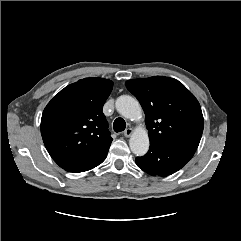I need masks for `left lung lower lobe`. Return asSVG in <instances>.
<instances>
[{"mask_svg":"<svg viewBox=\"0 0 241 241\" xmlns=\"http://www.w3.org/2000/svg\"><path fill=\"white\" fill-rule=\"evenodd\" d=\"M196 147L150 140L149 151L135 159L136 164L150 175L166 177L181 169L194 155Z\"/></svg>","mask_w":241,"mask_h":241,"instance_id":"1","label":"left lung lower lobe"}]
</instances>
